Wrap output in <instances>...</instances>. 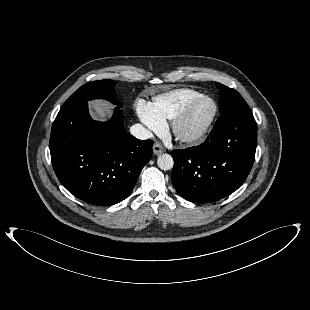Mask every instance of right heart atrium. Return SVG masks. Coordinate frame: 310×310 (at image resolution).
I'll return each instance as SVG.
<instances>
[{
  "instance_id": "right-heart-atrium-1",
  "label": "right heart atrium",
  "mask_w": 310,
  "mask_h": 310,
  "mask_svg": "<svg viewBox=\"0 0 310 310\" xmlns=\"http://www.w3.org/2000/svg\"><path fill=\"white\" fill-rule=\"evenodd\" d=\"M138 114L142 122L151 132L161 133L165 129V121L161 120L147 103L140 104Z\"/></svg>"
}]
</instances>
